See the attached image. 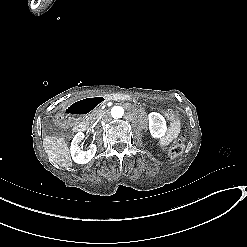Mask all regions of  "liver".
Listing matches in <instances>:
<instances>
[{
    "label": "liver",
    "mask_w": 247,
    "mask_h": 247,
    "mask_svg": "<svg viewBox=\"0 0 247 247\" xmlns=\"http://www.w3.org/2000/svg\"><path fill=\"white\" fill-rule=\"evenodd\" d=\"M55 113H53L54 115ZM43 148L46 155L50 158L51 164L60 169L69 170L73 167L70 155L69 142L63 137L44 135Z\"/></svg>",
    "instance_id": "obj_1"
}]
</instances>
